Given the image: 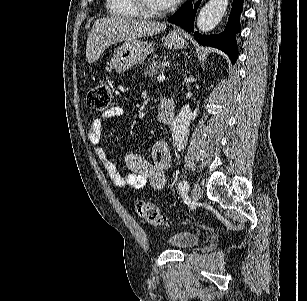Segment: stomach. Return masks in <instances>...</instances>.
Masks as SVG:
<instances>
[{
    "label": "stomach",
    "instance_id": "stomach-1",
    "mask_svg": "<svg viewBox=\"0 0 307 301\" xmlns=\"http://www.w3.org/2000/svg\"><path fill=\"white\" fill-rule=\"evenodd\" d=\"M161 44L165 48H185L188 42L181 32L172 30L168 36L163 38ZM155 46L156 44L149 42V40H138V38L125 40L121 46L116 48L111 60L112 66L116 72H125V70L131 68L134 64L143 62L149 54L154 52Z\"/></svg>",
    "mask_w": 307,
    "mask_h": 301
}]
</instances>
